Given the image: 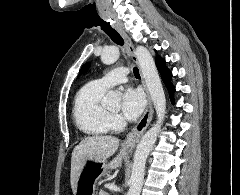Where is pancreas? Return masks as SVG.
Listing matches in <instances>:
<instances>
[{
  "mask_svg": "<svg viewBox=\"0 0 240 195\" xmlns=\"http://www.w3.org/2000/svg\"><path fill=\"white\" fill-rule=\"evenodd\" d=\"M99 195H109V193H107V191H103V189H101Z\"/></svg>",
  "mask_w": 240,
  "mask_h": 195,
  "instance_id": "1",
  "label": "pancreas"
}]
</instances>
